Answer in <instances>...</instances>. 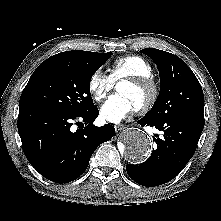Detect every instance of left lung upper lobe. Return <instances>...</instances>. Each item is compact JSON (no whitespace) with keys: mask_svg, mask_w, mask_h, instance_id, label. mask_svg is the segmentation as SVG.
Segmentation results:
<instances>
[{"mask_svg":"<svg viewBox=\"0 0 221 221\" xmlns=\"http://www.w3.org/2000/svg\"><path fill=\"white\" fill-rule=\"evenodd\" d=\"M157 65L160 92L144 118L161 121L170 116H186L204 122V96L195 74L179 57L155 48L142 49Z\"/></svg>","mask_w":221,"mask_h":221,"instance_id":"1","label":"left lung upper lobe"}]
</instances>
